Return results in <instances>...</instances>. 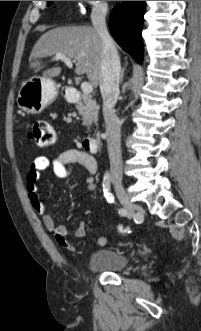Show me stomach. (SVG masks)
Masks as SVG:
<instances>
[{
  "label": "stomach",
  "instance_id": "1",
  "mask_svg": "<svg viewBox=\"0 0 201 331\" xmlns=\"http://www.w3.org/2000/svg\"><path fill=\"white\" fill-rule=\"evenodd\" d=\"M58 95L56 83L48 77L34 76L25 81L18 92V107L28 114H39Z\"/></svg>",
  "mask_w": 201,
  "mask_h": 331
}]
</instances>
